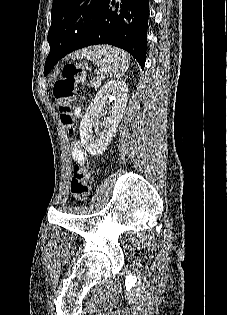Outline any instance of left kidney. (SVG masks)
<instances>
[{
	"label": "left kidney",
	"instance_id": "1",
	"mask_svg": "<svg viewBox=\"0 0 227 315\" xmlns=\"http://www.w3.org/2000/svg\"><path fill=\"white\" fill-rule=\"evenodd\" d=\"M128 87L123 81H110L96 94L80 124V137L84 149L91 155L102 154L111 141L121 121L128 97ZM108 102L110 115L104 118V130L94 136L92 128Z\"/></svg>",
	"mask_w": 227,
	"mask_h": 315
}]
</instances>
